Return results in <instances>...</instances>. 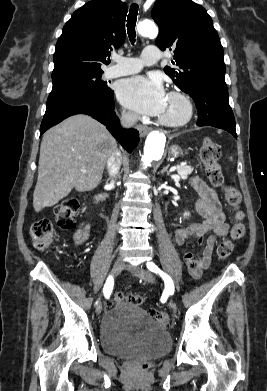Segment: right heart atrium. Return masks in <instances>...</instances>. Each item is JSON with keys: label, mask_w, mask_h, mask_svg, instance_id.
Wrapping results in <instances>:
<instances>
[{"label": "right heart atrium", "mask_w": 267, "mask_h": 391, "mask_svg": "<svg viewBox=\"0 0 267 391\" xmlns=\"http://www.w3.org/2000/svg\"><path fill=\"white\" fill-rule=\"evenodd\" d=\"M121 118H122L125 122H131V121L134 120V114H132V113L129 112V111L123 110L122 113H121Z\"/></svg>", "instance_id": "d8ad5b80"}]
</instances>
